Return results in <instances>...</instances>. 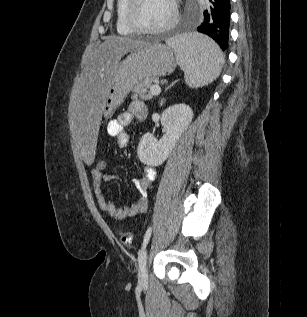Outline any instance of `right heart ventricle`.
Listing matches in <instances>:
<instances>
[{"label": "right heart ventricle", "instance_id": "obj_1", "mask_svg": "<svg viewBox=\"0 0 307 317\" xmlns=\"http://www.w3.org/2000/svg\"><path fill=\"white\" fill-rule=\"evenodd\" d=\"M129 0L116 1V30L120 35H133L135 32L128 26L126 21V7Z\"/></svg>", "mask_w": 307, "mask_h": 317}]
</instances>
